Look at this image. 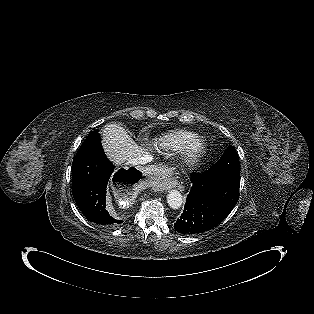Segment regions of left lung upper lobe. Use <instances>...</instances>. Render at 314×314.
<instances>
[{
    "label": "left lung upper lobe",
    "mask_w": 314,
    "mask_h": 314,
    "mask_svg": "<svg viewBox=\"0 0 314 314\" xmlns=\"http://www.w3.org/2000/svg\"><path fill=\"white\" fill-rule=\"evenodd\" d=\"M209 173H240L238 154L233 146H229L221 158L210 167Z\"/></svg>",
    "instance_id": "obj_1"
}]
</instances>
